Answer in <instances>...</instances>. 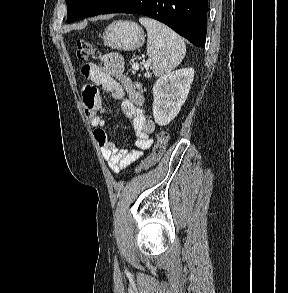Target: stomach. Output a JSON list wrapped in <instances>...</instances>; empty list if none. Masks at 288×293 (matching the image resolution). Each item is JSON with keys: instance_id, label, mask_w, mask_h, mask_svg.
Masks as SVG:
<instances>
[{"instance_id": "obj_1", "label": "stomach", "mask_w": 288, "mask_h": 293, "mask_svg": "<svg viewBox=\"0 0 288 293\" xmlns=\"http://www.w3.org/2000/svg\"><path fill=\"white\" fill-rule=\"evenodd\" d=\"M105 45L112 49L133 51L141 47L145 41L143 29L132 21H114L103 33Z\"/></svg>"}]
</instances>
